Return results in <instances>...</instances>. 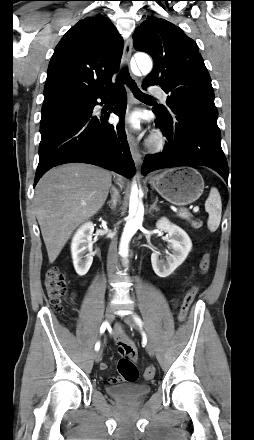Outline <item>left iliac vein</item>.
Here are the masks:
<instances>
[{
  "label": "left iliac vein",
  "instance_id": "obj_1",
  "mask_svg": "<svg viewBox=\"0 0 254 440\" xmlns=\"http://www.w3.org/2000/svg\"><path fill=\"white\" fill-rule=\"evenodd\" d=\"M122 318H123V321H124L126 324H128L129 326L134 327V328H136V329H138V330H141L140 327H139L138 324L134 321V319H133V317H132L131 315H125V316H123ZM147 350H148V352H149L151 355H154V354H155V346H154V344L152 343L151 340H148V341H147Z\"/></svg>",
  "mask_w": 254,
  "mask_h": 440
}]
</instances>
